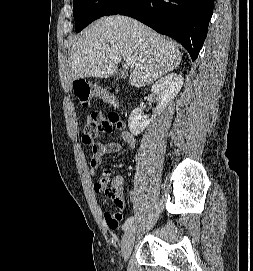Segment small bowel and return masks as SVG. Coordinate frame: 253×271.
Listing matches in <instances>:
<instances>
[{
	"instance_id": "small-bowel-1",
	"label": "small bowel",
	"mask_w": 253,
	"mask_h": 271,
	"mask_svg": "<svg viewBox=\"0 0 253 271\" xmlns=\"http://www.w3.org/2000/svg\"><path fill=\"white\" fill-rule=\"evenodd\" d=\"M114 129L120 130L121 139L129 149L135 147V138L133 134L127 130L124 121L119 118L115 120L111 115L109 118H104L100 112H93L87 118L82 141L86 146L92 149L89 167L93 175L97 174L103 156L115 154L122 148L119 142L98 143L95 141L100 132L110 133ZM115 181L121 183V178L117 177ZM94 188L97 191L96 184L94 185Z\"/></svg>"
}]
</instances>
